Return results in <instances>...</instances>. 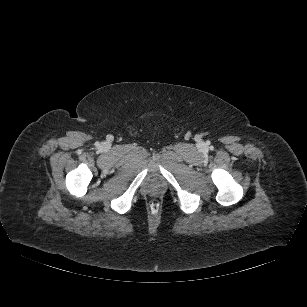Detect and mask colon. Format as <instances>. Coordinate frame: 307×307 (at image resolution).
Instances as JSON below:
<instances>
[{
    "mask_svg": "<svg viewBox=\"0 0 307 307\" xmlns=\"http://www.w3.org/2000/svg\"><path fill=\"white\" fill-rule=\"evenodd\" d=\"M150 207L152 210H158L159 208V203L157 201H152L150 204Z\"/></svg>",
    "mask_w": 307,
    "mask_h": 307,
    "instance_id": "1",
    "label": "colon"
}]
</instances>
